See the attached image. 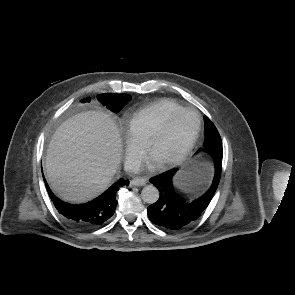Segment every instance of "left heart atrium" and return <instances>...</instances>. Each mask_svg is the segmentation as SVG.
Here are the masks:
<instances>
[{
	"label": "left heart atrium",
	"mask_w": 295,
	"mask_h": 295,
	"mask_svg": "<svg viewBox=\"0 0 295 295\" xmlns=\"http://www.w3.org/2000/svg\"><path fill=\"white\" fill-rule=\"evenodd\" d=\"M149 165H150V166H153V165H154V162H153V161H151V162L149 163Z\"/></svg>",
	"instance_id": "39dd6f15"
}]
</instances>
